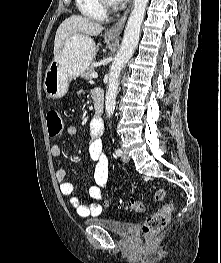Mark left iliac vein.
Segmentation results:
<instances>
[{
    "mask_svg": "<svg viewBox=\"0 0 221 263\" xmlns=\"http://www.w3.org/2000/svg\"><path fill=\"white\" fill-rule=\"evenodd\" d=\"M121 158H122V160H123L124 162H128V161L130 160L128 154H127L126 151H124V150H123V152H122Z\"/></svg>",
    "mask_w": 221,
    "mask_h": 263,
    "instance_id": "4c4485c4",
    "label": "left iliac vein"
}]
</instances>
